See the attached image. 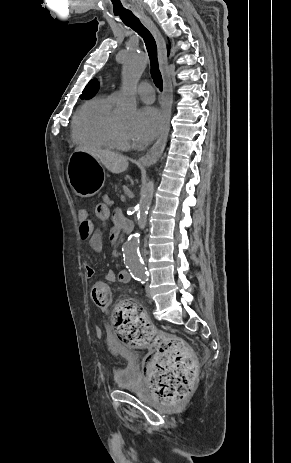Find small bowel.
Instances as JSON below:
<instances>
[{"label": "small bowel", "mask_w": 291, "mask_h": 463, "mask_svg": "<svg viewBox=\"0 0 291 463\" xmlns=\"http://www.w3.org/2000/svg\"><path fill=\"white\" fill-rule=\"evenodd\" d=\"M103 204V203H101ZM105 205V204H104ZM119 214H113L112 220L114 226L109 231V236L111 239V244L113 246H118L120 244V233L122 229L119 226H116L118 220L120 219ZM107 218V221L110 219ZM79 219V237L81 240H88L91 249L95 252H101L103 248V238L101 232L96 228L95 224L89 218V211L86 208H82L78 212ZM85 277L91 279L95 276V271L89 265L84 267ZM103 279L107 282L113 283L119 281L121 283H128L131 280L130 274L122 270L118 275L113 270H108L104 273Z\"/></svg>", "instance_id": "obj_1"}]
</instances>
